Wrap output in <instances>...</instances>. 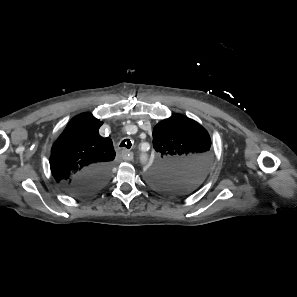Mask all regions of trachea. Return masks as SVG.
I'll list each match as a JSON object with an SVG mask.
<instances>
[{"label":"trachea","mask_w":297,"mask_h":297,"mask_svg":"<svg viewBox=\"0 0 297 297\" xmlns=\"http://www.w3.org/2000/svg\"><path fill=\"white\" fill-rule=\"evenodd\" d=\"M132 146V143L130 141V139H124L121 143H120V147H125L127 149H130Z\"/></svg>","instance_id":"trachea-1"}]
</instances>
